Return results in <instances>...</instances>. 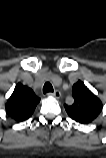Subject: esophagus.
<instances>
[{
	"instance_id": "34e87169",
	"label": "esophagus",
	"mask_w": 106,
	"mask_h": 158,
	"mask_svg": "<svg viewBox=\"0 0 106 158\" xmlns=\"http://www.w3.org/2000/svg\"><path fill=\"white\" fill-rule=\"evenodd\" d=\"M48 95L59 99L61 97V92L58 89H56L54 92L48 93Z\"/></svg>"
}]
</instances>
